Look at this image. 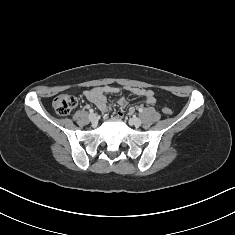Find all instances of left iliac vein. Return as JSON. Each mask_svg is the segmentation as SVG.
<instances>
[{"mask_svg":"<svg viewBox=\"0 0 235 235\" xmlns=\"http://www.w3.org/2000/svg\"><path fill=\"white\" fill-rule=\"evenodd\" d=\"M130 123L136 127H139L142 124V121L138 117H133L130 119Z\"/></svg>","mask_w":235,"mask_h":235,"instance_id":"1","label":"left iliac vein"}]
</instances>
